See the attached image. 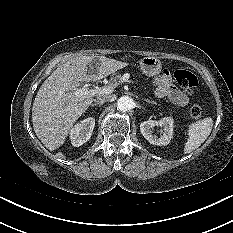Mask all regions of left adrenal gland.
<instances>
[{"instance_id": "left-adrenal-gland-1", "label": "left adrenal gland", "mask_w": 233, "mask_h": 233, "mask_svg": "<svg viewBox=\"0 0 233 233\" xmlns=\"http://www.w3.org/2000/svg\"><path fill=\"white\" fill-rule=\"evenodd\" d=\"M145 102H147V103H151V104H156V102H154V101H150V100H148V99H146V100H145Z\"/></svg>"}]
</instances>
